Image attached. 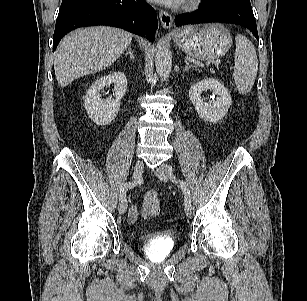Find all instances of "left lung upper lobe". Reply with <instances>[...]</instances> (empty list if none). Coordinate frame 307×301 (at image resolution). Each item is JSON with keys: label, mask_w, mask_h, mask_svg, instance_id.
<instances>
[{"label": "left lung upper lobe", "mask_w": 307, "mask_h": 301, "mask_svg": "<svg viewBox=\"0 0 307 301\" xmlns=\"http://www.w3.org/2000/svg\"><path fill=\"white\" fill-rule=\"evenodd\" d=\"M209 1L215 2V3H225L229 1H250V0H209Z\"/></svg>", "instance_id": "5c2ea615"}]
</instances>
